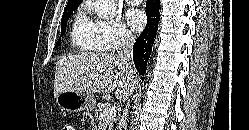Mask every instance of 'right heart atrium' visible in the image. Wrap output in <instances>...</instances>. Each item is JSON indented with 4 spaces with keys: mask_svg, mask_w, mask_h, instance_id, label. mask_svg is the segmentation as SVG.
<instances>
[{
    "mask_svg": "<svg viewBox=\"0 0 249 130\" xmlns=\"http://www.w3.org/2000/svg\"><path fill=\"white\" fill-rule=\"evenodd\" d=\"M101 48L112 52L131 45L134 36L120 18L100 19L96 22Z\"/></svg>",
    "mask_w": 249,
    "mask_h": 130,
    "instance_id": "1",
    "label": "right heart atrium"
}]
</instances>
